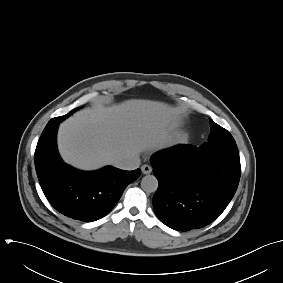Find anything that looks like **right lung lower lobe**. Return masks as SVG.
Returning a JSON list of instances; mask_svg holds the SVG:
<instances>
[{
  "label": "right lung lower lobe",
  "mask_w": 283,
  "mask_h": 283,
  "mask_svg": "<svg viewBox=\"0 0 283 283\" xmlns=\"http://www.w3.org/2000/svg\"><path fill=\"white\" fill-rule=\"evenodd\" d=\"M61 121L47 124L35 150V168L41 188L60 213L84 222L107 215L123 191L141 171H124L111 166L93 172L65 164L57 151L56 135Z\"/></svg>",
  "instance_id": "right-lung-lower-lobe-1"
}]
</instances>
